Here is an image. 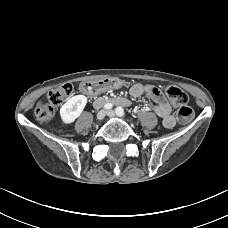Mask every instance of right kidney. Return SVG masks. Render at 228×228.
I'll return each instance as SVG.
<instances>
[{
  "label": "right kidney",
  "instance_id": "1",
  "mask_svg": "<svg viewBox=\"0 0 228 228\" xmlns=\"http://www.w3.org/2000/svg\"><path fill=\"white\" fill-rule=\"evenodd\" d=\"M87 103V97L76 95L67 100L60 109L61 120L64 124H71L78 118Z\"/></svg>",
  "mask_w": 228,
  "mask_h": 228
}]
</instances>
